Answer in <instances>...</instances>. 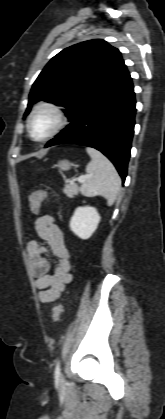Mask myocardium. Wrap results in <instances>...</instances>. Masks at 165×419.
Masks as SVG:
<instances>
[{"mask_svg": "<svg viewBox=\"0 0 165 419\" xmlns=\"http://www.w3.org/2000/svg\"><path fill=\"white\" fill-rule=\"evenodd\" d=\"M42 110L49 111L54 115L55 124H54L53 128L51 129V131L48 134H46L42 138H35L32 134V131H31V123H32V120L35 117V115ZM66 123H67L66 114L59 105H57L53 102H40L33 107L30 114L28 115V118H27V121H26V128H27V132H28L30 138L33 141H35V142H45V141H48V140L52 139L54 136H56L64 128Z\"/></svg>", "mask_w": 165, "mask_h": 419, "instance_id": "myocardium-1", "label": "myocardium"}]
</instances>
